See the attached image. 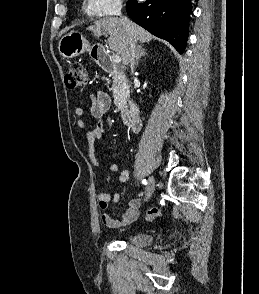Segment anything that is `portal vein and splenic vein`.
Returning <instances> with one entry per match:
<instances>
[{"label":"portal vein and splenic vein","instance_id":"1","mask_svg":"<svg viewBox=\"0 0 259 294\" xmlns=\"http://www.w3.org/2000/svg\"><path fill=\"white\" fill-rule=\"evenodd\" d=\"M111 61L114 62V63H120L121 62V58L118 54H113L111 56Z\"/></svg>","mask_w":259,"mask_h":294}]
</instances>
